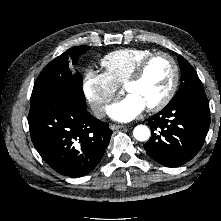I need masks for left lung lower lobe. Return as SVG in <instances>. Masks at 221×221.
<instances>
[{"label": "left lung lower lobe", "instance_id": "left-lung-lower-lobe-1", "mask_svg": "<svg viewBox=\"0 0 221 221\" xmlns=\"http://www.w3.org/2000/svg\"><path fill=\"white\" fill-rule=\"evenodd\" d=\"M152 136L144 144L147 154L156 162L181 166L201 149L210 125L207 97H189L148 118Z\"/></svg>", "mask_w": 221, "mask_h": 221}]
</instances>
